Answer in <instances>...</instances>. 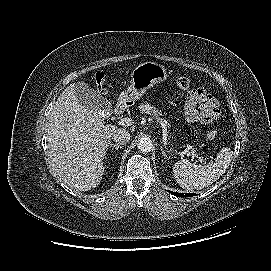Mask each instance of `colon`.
<instances>
[{"label": "colon", "instance_id": "5ec220e1", "mask_svg": "<svg viewBox=\"0 0 271 271\" xmlns=\"http://www.w3.org/2000/svg\"><path fill=\"white\" fill-rule=\"evenodd\" d=\"M176 85L181 88V89H188L191 85V81L189 78L187 77H178L176 79ZM218 135V132L216 130H210L208 133H207V137L208 139H215Z\"/></svg>", "mask_w": 271, "mask_h": 271}]
</instances>
